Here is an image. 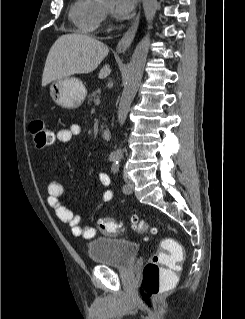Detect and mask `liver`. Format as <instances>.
Instances as JSON below:
<instances>
[{"label": "liver", "instance_id": "liver-1", "mask_svg": "<svg viewBox=\"0 0 245 319\" xmlns=\"http://www.w3.org/2000/svg\"><path fill=\"white\" fill-rule=\"evenodd\" d=\"M109 52L108 47L88 35L80 33L60 36L51 47L43 75L42 86L75 74H88L94 71ZM111 73L109 65L103 66L99 78Z\"/></svg>", "mask_w": 245, "mask_h": 319}]
</instances>
